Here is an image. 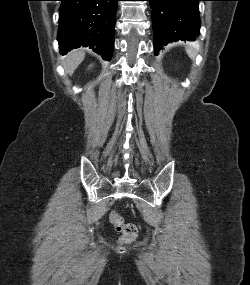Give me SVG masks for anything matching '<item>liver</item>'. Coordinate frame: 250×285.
<instances>
[{"instance_id":"1","label":"liver","mask_w":250,"mask_h":285,"mask_svg":"<svg viewBox=\"0 0 250 285\" xmlns=\"http://www.w3.org/2000/svg\"><path fill=\"white\" fill-rule=\"evenodd\" d=\"M85 58V52L83 50H76L67 55L63 65L66 72L72 75L76 68L81 64Z\"/></svg>"}]
</instances>
